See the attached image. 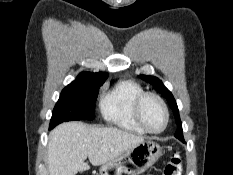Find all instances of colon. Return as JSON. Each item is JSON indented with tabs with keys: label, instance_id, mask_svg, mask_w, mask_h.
<instances>
[{
	"label": "colon",
	"instance_id": "1",
	"mask_svg": "<svg viewBox=\"0 0 233 175\" xmlns=\"http://www.w3.org/2000/svg\"><path fill=\"white\" fill-rule=\"evenodd\" d=\"M182 173V158L178 152L171 155L170 160L166 163L162 175H181Z\"/></svg>",
	"mask_w": 233,
	"mask_h": 175
}]
</instances>
